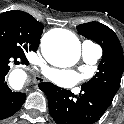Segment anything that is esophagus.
Wrapping results in <instances>:
<instances>
[{"instance_id": "obj_1", "label": "esophagus", "mask_w": 124, "mask_h": 124, "mask_svg": "<svg viewBox=\"0 0 124 124\" xmlns=\"http://www.w3.org/2000/svg\"><path fill=\"white\" fill-rule=\"evenodd\" d=\"M43 80H44V78L41 77V76H36V78H35L36 82H40V81H43Z\"/></svg>"}]
</instances>
